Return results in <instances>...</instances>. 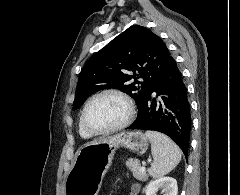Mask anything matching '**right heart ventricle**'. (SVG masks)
<instances>
[{
    "mask_svg": "<svg viewBox=\"0 0 240 195\" xmlns=\"http://www.w3.org/2000/svg\"><path fill=\"white\" fill-rule=\"evenodd\" d=\"M80 133L84 138H89L90 135L82 128V126L80 125Z\"/></svg>",
    "mask_w": 240,
    "mask_h": 195,
    "instance_id": "obj_1",
    "label": "right heart ventricle"
}]
</instances>
